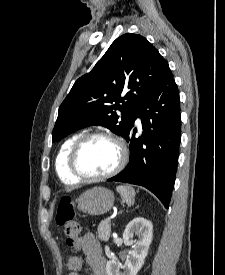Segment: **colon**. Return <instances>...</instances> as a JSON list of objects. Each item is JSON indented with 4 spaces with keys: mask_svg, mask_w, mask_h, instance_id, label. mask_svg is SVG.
Masks as SVG:
<instances>
[{
    "mask_svg": "<svg viewBox=\"0 0 225 275\" xmlns=\"http://www.w3.org/2000/svg\"><path fill=\"white\" fill-rule=\"evenodd\" d=\"M75 206L71 198L63 197L58 205L56 212V224L63 228L66 236V244L72 248L80 245V226L74 221ZM65 266L69 271L78 272L82 268V259L78 254L70 255Z\"/></svg>",
    "mask_w": 225,
    "mask_h": 275,
    "instance_id": "1",
    "label": "colon"
}]
</instances>
